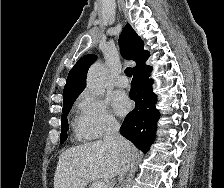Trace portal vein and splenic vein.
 <instances>
[{"mask_svg":"<svg viewBox=\"0 0 224 188\" xmlns=\"http://www.w3.org/2000/svg\"><path fill=\"white\" fill-rule=\"evenodd\" d=\"M91 186L92 188H107V185L102 181L95 182Z\"/></svg>","mask_w":224,"mask_h":188,"instance_id":"portal-vein-and-splenic-vein-1","label":"portal vein and splenic vein"}]
</instances>
